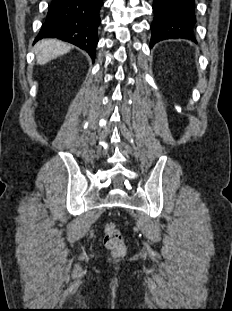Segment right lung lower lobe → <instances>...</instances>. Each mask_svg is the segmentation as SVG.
Masks as SVG:
<instances>
[{
  "instance_id": "98d812e1",
  "label": "right lung lower lobe",
  "mask_w": 232,
  "mask_h": 311,
  "mask_svg": "<svg viewBox=\"0 0 232 311\" xmlns=\"http://www.w3.org/2000/svg\"><path fill=\"white\" fill-rule=\"evenodd\" d=\"M102 6L103 0H52L35 42L58 38L85 50L94 60Z\"/></svg>"
}]
</instances>
